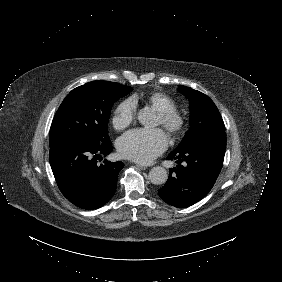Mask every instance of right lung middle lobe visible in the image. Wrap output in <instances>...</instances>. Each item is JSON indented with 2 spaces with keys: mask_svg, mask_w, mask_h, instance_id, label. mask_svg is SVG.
<instances>
[{
  "mask_svg": "<svg viewBox=\"0 0 282 282\" xmlns=\"http://www.w3.org/2000/svg\"><path fill=\"white\" fill-rule=\"evenodd\" d=\"M131 87L109 81H92L72 90L53 119L50 147L71 139L105 143L113 104L129 94Z\"/></svg>",
  "mask_w": 282,
  "mask_h": 282,
  "instance_id": "right-lung-middle-lobe-1",
  "label": "right lung middle lobe"
}]
</instances>
